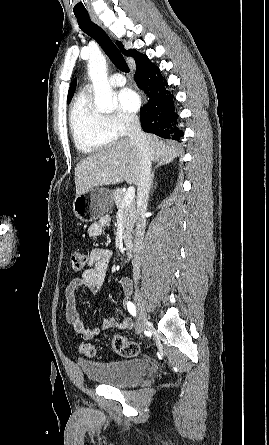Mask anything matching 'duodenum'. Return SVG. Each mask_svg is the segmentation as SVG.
<instances>
[{
    "label": "duodenum",
    "instance_id": "1",
    "mask_svg": "<svg viewBox=\"0 0 269 445\" xmlns=\"http://www.w3.org/2000/svg\"><path fill=\"white\" fill-rule=\"evenodd\" d=\"M125 252L128 256H132L134 253V242L133 241H127L125 243Z\"/></svg>",
    "mask_w": 269,
    "mask_h": 445
}]
</instances>
